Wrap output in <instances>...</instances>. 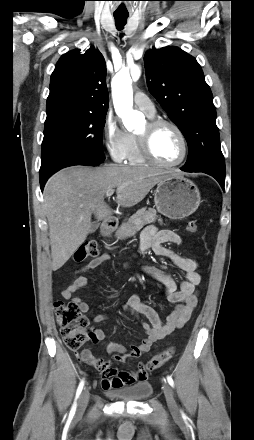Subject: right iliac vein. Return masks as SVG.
<instances>
[{
    "label": "right iliac vein",
    "instance_id": "obj_1",
    "mask_svg": "<svg viewBox=\"0 0 254 440\" xmlns=\"http://www.w3.org/2000/svg\"><path fill=\"white\" fill-rule=\"evenodd\" d=\"M88 402H89V390L85 388L78 400V405L76 410L77 415H82L84 413L85 409L87 408Z\"/></svg>",
    "mask_w": 254,
    "mask_h": 440
}]
</instances>
